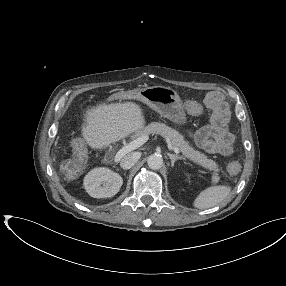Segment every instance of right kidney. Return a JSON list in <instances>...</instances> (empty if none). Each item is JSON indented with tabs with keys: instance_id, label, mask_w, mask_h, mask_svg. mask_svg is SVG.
I'll use <instances>...</instances> for the list:
<instances>
[{
	"instance_id": "right-kidney-1",
	"label": "right kidney",
	"mask_w": 286,
	"mask_h": 286,
	"mask_svg": "<svg viewBox=\"0 0 286 286\" xmlns=\"http://www.w3.org/2000/svg\"><path fill=\"white\" fill-rule=\"evenodd\" d=\"M122 184V177L105 167L92 169L84 178L86 192L93 198L112 197Z\"/></svg>"
}]
</instances>
